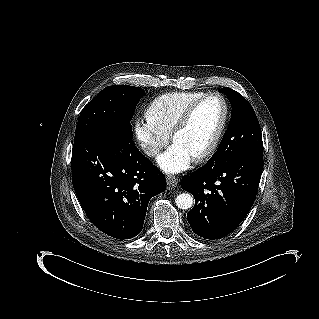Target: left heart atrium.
<instances>
[{"label": "left heart atrium", "instance_id": "39dd6f15", "mask_svg": "<svg viewBox=\"0 0 319 319\" xmlns=\"http://www.w3.org/2000/svg\"><path fill=\"white\" fill-rule=\"evenodd\" d=\"M194 155L182 144L176 142L158 157L159 167L166 173H178L189 168Z\"/></svg>", "mask_w": 319, "mask_h": 319}]
</instances>
